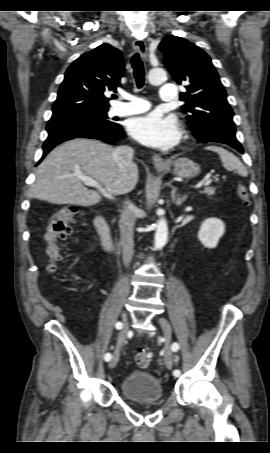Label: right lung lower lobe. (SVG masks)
<instances>
[{
    "label": "right lung lower lobe",
    "mask_w": 270,
    "mask_h": 453,
    "mask_svg": "<svg viewBox=\"0 0 270 453\" xmlns=\"http://www.w3.org/2000/svg\"><path fill=\"white\" fill-rule=\"evenodd\" d=\"M48 138L43 144V156L56 145L78 137L113 143L125 137L122 127L111 122L108 125L95 124L77 119H55L47 123Z\"/></svg>",
    "instance_id": "obj_1"
}]
</instances>
